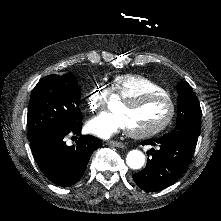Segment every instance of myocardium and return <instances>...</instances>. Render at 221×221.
<instances>
[{
    "instance_id": "f54148a6",
    "label": "myocardium",
    "mask_w": 221,
    "mask_h": 221,
    "mask_svg": "<svg viewBox=\"0 0 221 221\" xmlns=\"http://www.w3.org/2000/svg\"><path fill=\"white\" fill-rule=\"evenodd\" d=\"M147 105H164L165 113L149 122H138L136 128H129L134 137L141 139L155 138L159 131L166 126L173 117V111L175 110L174 102L166 93H152V95L149 96L142 95L140 98L130 97L124 101V106L131 110L133 108H138L140 110L141 107H146Z\"/></svg>"
}]
</instances>
